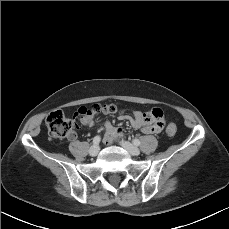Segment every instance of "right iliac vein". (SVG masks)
Returning <instances> with one entry per match:
<instances>
[{"label": "right iliac vein", "instance_id": "1", "mask_svg": "<svg viewBox=\"0 0 229 229\" xmlns=\"http://www.w3.org/2000/svg\"><path fill=\"white\" fill-rule=\"evenodd\" d=\"M99 146L98 145H93L90 149H89V154L91 156H96L99 152Z\"/></svg>", "mask_w": 229, "mask_h": 229}]
</instances>
